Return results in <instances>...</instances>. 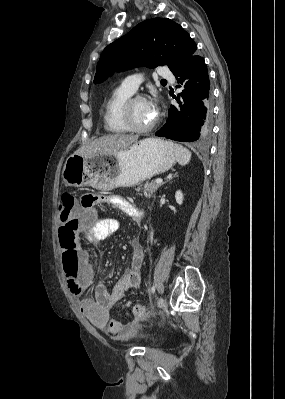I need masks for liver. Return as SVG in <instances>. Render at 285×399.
<instances>
[{
    "label": "liver",
    "mask_w": 285,
    "mask_h": 399,
    "mask_svg": "<svg viewBox=\"0 0 285 399\" xmlns=\"http://www.w3.org/2000/svg\"><path fill=\"white\" fill-rule=\"evenodd\" d=\"M138 140V136L125 134H112L99 137L91 143L82 146L75 153L91 156L98 153L117 154L128 149Z\"/></svg>",
    "instance_id": "liver-1"
}]
</instances>
